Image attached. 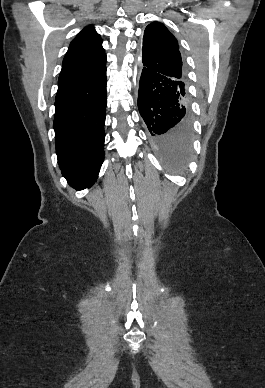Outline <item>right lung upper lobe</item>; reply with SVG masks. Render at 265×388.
<instances>
[{
    "label": "right lung upper lobe",
    "instance_id": "cb5924a9",
    "mask_svg": "<svg viewBox=\"0 0 265 388\" xmlns=\"http://www.w3.org/2000/svg\"><path fill=\"white\" fill-rule=\"evenodd\" d=\"M106 72V54L102 39L93 26L85 27L64 57L58 89L96 79Z\"/></svg>",
    "mask_w": 265,
    "mask_h": 388
}]
</instances>
